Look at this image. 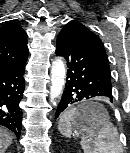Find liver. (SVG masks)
I'll list each match as a JSON object with an SVG mask.
<instances>
[{
    "label": "liver",
    "instance_id": "1",
    "mask_svg": "<svg viewBox=\"0 0 130 153\" xmlns=\"http://www.w3.org/2000/svg\"><path fill=\"white\" fill-rule=\"evenodd\" d=\"M12 134L0 127V153H4L12 143Z\"/></svg>",
    "mask_w": 130,
    "mask_h": 153
}]
</instances>
